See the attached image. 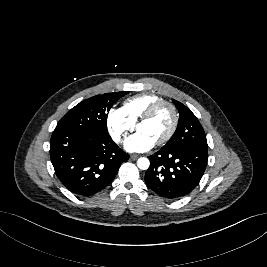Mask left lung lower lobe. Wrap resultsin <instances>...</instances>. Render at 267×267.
Wrapping results in <instances>:
<instances>
[{
  "label": "left lung lower lobe",
  "instance_id": "obj_1",
  "mask_svg": "<svg viewBox=\"0 0 267 267\" xmlns=\"http://www.w3.org/2000/svg\"><path fill=\"white\" fill-rule=\"evenodd\" d=\"M145 174L147 186L168 199L188 195L200 182L208 161V149L185 146L160 149L150 157Z\"/></svg>",
  "mask_w": 267,
  "mask_h": 267
}]
</instances>
